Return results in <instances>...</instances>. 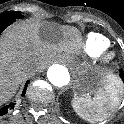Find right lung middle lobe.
<instances>
[{
    "label": "right lung middle lobe",
    "instance_id": "obj_1",
    "mask_svg": "<svg viewBox=\"0 0 124 124\" xmlns=\"http://www.w3.org/2000/svg\"><path fill=\"white\" fill-rule=\"evenodd\" d=\"M23 15H21V12L18 11H7L2 14H0V18H13V19H20Z\"/></svg>",
    "mask_w": 124,
    "mask_h": 124
}]
</instances>
